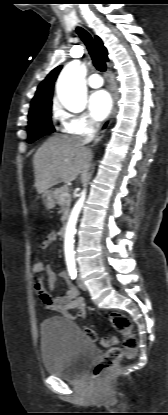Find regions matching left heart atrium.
I'll return each mask as SVG.
<instances>
[{
    "label": "left heart atrium",
    "instance_id": "1",
    "mask_svg": "<svg viewBox=\"0 0 168 415\" xmlns=\"http://www.w3.org/2000/svg\"><path fill=\"white\" fill-rule=\"evenodd\" d=\"M88 107L94 120H104L109 115L112 108L110 95L105 90L93 92L89 97Z\"/></svg>",
    "mask_w": 168,
    "mask_h": 415
}]
</instances>
